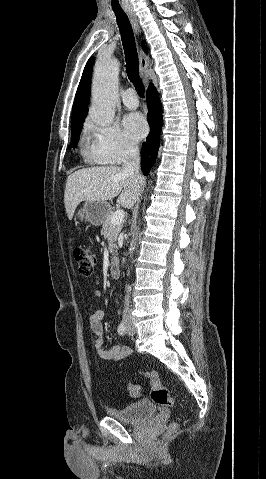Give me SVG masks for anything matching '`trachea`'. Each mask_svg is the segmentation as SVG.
I'll return each instance as SVG.
<instances>
[{
  "mask_svg": "<svg viewBox=\"0 0 266 479\" xmlns=\"http://www.w3.org/2000/svg\"><path fill=\"white\" fill-rule=\"evenodd\" d=\"M113 11L121 34L128 79L134 84L138 95L144 98L145 88L139 75L138 53L130 21L122 9L113 8Z\"/></svg>",
  "mask_w": 266,
  "mask_h": 479,
  "instance_id": "obj_1",
  "label": "trachea"
}]
</instances>
